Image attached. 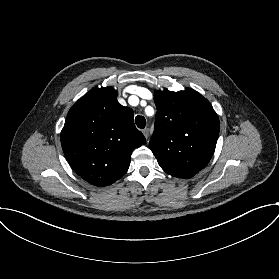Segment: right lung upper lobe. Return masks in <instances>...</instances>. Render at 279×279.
<instances>
[{
	"label": "right lung upper lobe",
	"mask_w": 279,
	"mask_h": 279,
	"mask_svg": "<svg viewBox=\"0 0 279 279\" xmlns=\"http://www.w3.org/2000/svg\"><path fill=\"white\" fill-rule=\"evenodd\" d=\"M112 87L94 88L70 109L61 132L67 161L82 179L106 186L128 170L135 148L145 144L133 110L121 106Z\"/></svg>",
	"instance_id": "1"
}]
</instances>
